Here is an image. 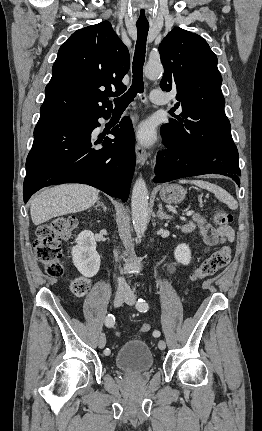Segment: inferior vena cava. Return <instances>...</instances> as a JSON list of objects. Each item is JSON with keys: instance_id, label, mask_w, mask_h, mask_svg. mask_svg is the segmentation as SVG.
Wrapping results in <instances>:
<instances>
[{"instance_id": "1", "label": "inferior vena cava", "mask_w": 262, "mask_h": 431, "mask_svg": "<svg viewBox=\"0 0 262 431\" xmlns=\"http://www.w3.org/2000/svg\"><path fill=\"white\" fill-rule=\"evenodd\" d=\"M118 290L119 291H128L129 290V286L127 285L124 278L118 279Z\"/></svg>"}]
</instances>
